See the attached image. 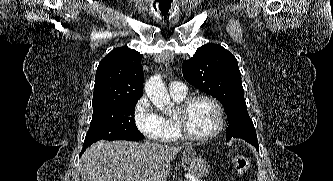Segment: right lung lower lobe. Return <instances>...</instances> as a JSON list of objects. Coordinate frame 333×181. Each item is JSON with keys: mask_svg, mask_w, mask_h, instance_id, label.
Here are the masks:
<instances>
[{"mask_svg": "<svg viewBox=\"0 0 333 181\" xmlns=\"http://www.w3.org/2000/svg\"><path fill=\"white\" fill-rule=\"evenodd\" d=\"M88 146H90V145L83 146L81 154L84 152V150H85L86 148H88ZM81 154H80V156H81Z\"/></svg>", "mask_w": 333, "mask_h": 181, "instance_id": "right-lung-lower-lobe-1", "label": "right lung lower lobe"}]
</instances>
